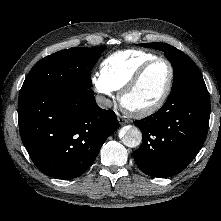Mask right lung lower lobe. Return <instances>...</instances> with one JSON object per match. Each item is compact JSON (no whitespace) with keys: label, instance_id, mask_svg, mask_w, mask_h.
Segmentation results:
<instances>
[{"label":"right lung lower lobe","instance_id":"98d812e1","mask_svg":"<svg viewBox=\"0 0 221 221\" xmlns=\"http://www.w3.org/2000/svg\"><path fill=\"white\" fill-rule=\"evenodd\" d=\"M18 121L22 142L34 164L58 179L82 175L119 128L115 113L101 109L90 89L19 96Z\"/></svg>","mask_w":221,"mask_h":221}]
</instances>
